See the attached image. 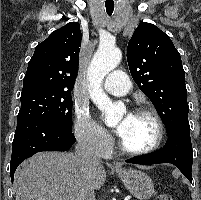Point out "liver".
<instances>
[{
    "label": "liver",
    "mask_w": 201,
    "mask_h": 200,
    "mask_svg": "<svg viewBox=\"0 0 201 200\" xmlns=\"http://www.w3.org/2000/svg\"><path fill=\"white\" fill-rule=\"evenodd\" d=\"M16 179V200H79L83 184L100 189L106 172L100 163L79 166L76 154L43 152L25 161Z\"/></svg>",
    "instance_id": "1"
}]
</instances>
